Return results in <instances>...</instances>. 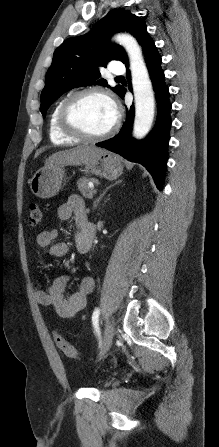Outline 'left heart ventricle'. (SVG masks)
<instances>
[{"label": "left heart ventricle", "mask_w": 219, "mask_h": 447, "mask_svg": "<svg viewBox=\"0 0 219 447\" xmlns=\"http://www.w3.org/2000/svg\"><path fill=\"white\" fill-rule=\"evenodd\" d=\"M116 113L113 105L99 96H87L74 108L72 119L90 134H101L114 123Z\"/></svg>", "instance_id": "obj_1"}]
</instances>
